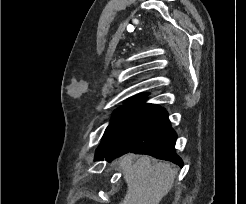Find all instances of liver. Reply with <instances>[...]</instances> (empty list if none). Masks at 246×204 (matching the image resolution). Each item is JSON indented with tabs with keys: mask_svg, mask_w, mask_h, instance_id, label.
<instances>
[{
	"mask_svg": "<svg viewBox=\"0 0 246 204\" xmlns=\"http://www.w3.org/2000/svg\"><path fill=\"white\" fill-rule=\"evenodd\" d=\"M127 193L119 204H159L171 189L178 170L167 162H152L149 156H141L135 162L127 154L120 162Z\"/></svg>",
	"mask_w": 246,
	"mask_h": 204,
	"instance_id": "liver-1",
	"label": "liver"
}]
</instances>
